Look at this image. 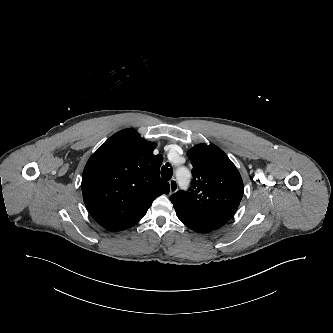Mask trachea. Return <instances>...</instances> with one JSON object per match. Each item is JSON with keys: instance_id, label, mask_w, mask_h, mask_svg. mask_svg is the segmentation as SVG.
I'll use <instances>...</instances> for the list:
<instances>
[{"instance_id": "1", "label": "trachea", "mask_w": 333, "mask_h": 333, "mask_svg": "<svg viewBox=\"0 0 333 333\" xmlns=\"http://www.w3.org/2000/svg\"><path fill=\"white\" fill-rule=\"evenodd\" d=\"M173 175V169L169 163H166V166L163 165L161 169V176L165 180H170Z\"/></svg>"}]
</instances>
